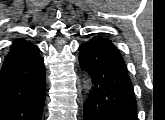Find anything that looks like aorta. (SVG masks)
<instances>
[{"label":"aorta","instance_id":"1","mask_svg":"<svg viewBox=\"0 0 165 120\" xmlns=\"http://www.w3.org/2000/svg\"><path fill=\"white\" fill-rule=\"evenodd\" d=\"M84 89L86 91H89L91 89V79L89 77H86L84 79Z\"/></svg>","mask_w":165,"mask_h":120}]
</instances>
